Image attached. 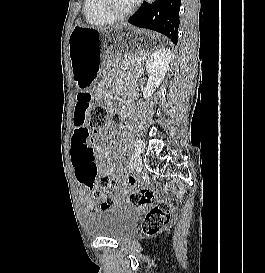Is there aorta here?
I'll list each match as a JSON object with an SVG mask.
<instances>
[{
  "instance_id": "obj_1",
  "label": "aorta",
  "mask_w": 265,
  "mask_h": 273,
  "mask_svg": "<svg viewBox=\"0 0 265 273\" xmlns=\"http://www.w3.org/2000/svg\"><path fill=\"white\" fill-rule=\"evenodd\" d=\"M146 1H147V3L151 4V3H153L155 0H146Z\"/></svg>"
}]
</instances>
